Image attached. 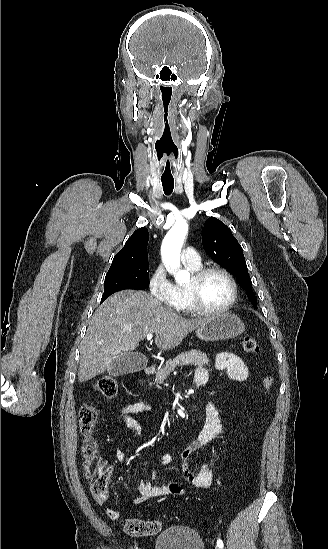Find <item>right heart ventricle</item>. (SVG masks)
<instances>
[{
	"mask_svg": "<svg viewBox=\"0 0 328 549\" xmlns=\"http://www.w3.org/2000/svg\"><path fill=\"white\" fill-rule=\"evenodd\" d=\"M183 263L188 270L194 271L202 265V260L200 258L198 262L183 261ZM165 303L175 304V310H179L180 312V319H191L192 312L187 307L190 302L186 294L185 286L178 283L173 284L171 294Z\"/></svg>",
	"mask_w": 328,
	"mask_h": 549,
	"instance_id": "1",
	"label": "right heart ventricle"
}]
</instances>
